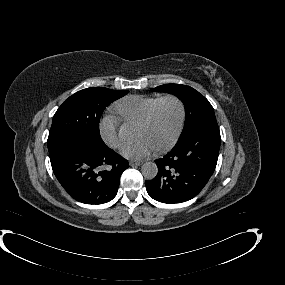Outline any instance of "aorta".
<instances>
[{"label": "aorta", "mask_w": 285, "mask_h": 285, "mask_svg": "<svg viewBox=\"0 0 285 285\" xmlns=\"http://www.w3.org/2000/svg\"><path fill=\"white\" fill-rule=\"evenodd\" d=\"M141 172L146 179L152 180L158 173V167L154 162H146L142 165Z\"/></svg>", "instance_id": "aorta-1"}]
</instances>
